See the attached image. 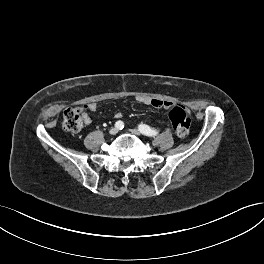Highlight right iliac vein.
Returning <instances> with one entry per match:
<instances>
[{
	"label": "right iliac vein",
	"mask_w": 264,
	"mask_h": 264,
	"mask_svg": "<svg viewBox=\"0 0 264 264\" xmlns=\"http://www.w3.org/2000/svg\"><path fill=\"white\" fill-rule=\"evenodd\" d=\"M109 133H110L111 135H116V134L118 133V128H116V127L112 128V129L109 131Z\"/></svg>",
	"instance_id": "63e3f726"
}]
</instances>
